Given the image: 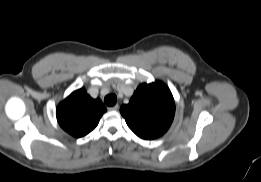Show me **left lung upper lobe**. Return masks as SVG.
Wrapping results in <instances>:
<instances>
[{
	"label": "left lung upper lobe",
	"mask_w": 261,
	"mask_h": 182,
	"mask_svg": "<svg viewBox=\"0 0 261 182\" xmlns=\"http://www.w3.org/2000/svg\"><path fill=\"white\" fill-rule=\"evenodd\" d=\"M129 128L139 137L151 140L170 127L175 104L169 88L162 82L139 85L129 104L120 108Z\"/></svg>",
	"instance_id": "obj_1"
}]
</instances>
